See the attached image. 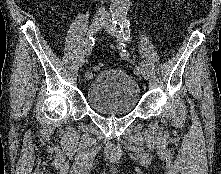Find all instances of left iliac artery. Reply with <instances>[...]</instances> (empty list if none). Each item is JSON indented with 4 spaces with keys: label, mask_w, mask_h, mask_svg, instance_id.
<instances>
[{
    "label": "left iliac artery",
    "mask_w": 221,
    "mask_h": 174,
    "mask_svg": "<svg viewBox=\"0 0 221 174\" xmlns=\"http://www.w3.org/2000/svg\"><path fill=\"white\" fill-rule=\"evenodd\" d=\"M118 24L121 28L120 33H122L125 41L130 40V22L127 19H120L119 21H115L114 25ZM122 59L127 60L129 58V53L126 50H122L120 53ZM135 73H140V69L136 68Z\"/></svg>",
    "instance_id": "1"
}]
</instances>
